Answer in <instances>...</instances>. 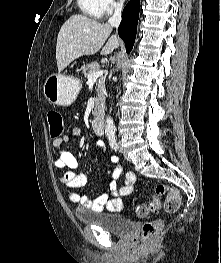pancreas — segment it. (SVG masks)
<instances>
[{
	"label": "pancreas",
	"instance_id": "obj_1",
	"mask_svg": "<svg viewBox=\"0 0 221 263\" xmlns=\"http://www.w3.org/2000/svg\"><path fill=\"white\" fill-rule=\"evenodd\" d=\"M100 68L97 62L89 63L86 67L83 68V74L85 77L94 71H97ZM106 100V88H105V79L101 78L97 85V94L95 99V109L92 111L93 115L97 116L103 109Z\"/></svg>",
	"mask_w": 221,
	"mask_h": 263
}]
</instances>
